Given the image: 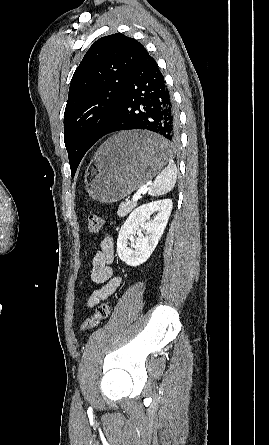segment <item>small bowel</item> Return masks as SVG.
I'll use <instances>...</instances> for the list:
<instances>
[{"mask_svg": "<svg viewBox=\"0 0 269 445\" xmlns=\"http://www.w3.org/2000/svg\"><path fill=\"white\" fill-rule=\"evenodd\" d=\"M113 259V239L110 236H106L100 244V249L96 250L93 255L91 279L99 287L86 300L88 308H93L101 301L110 297L121 285V278L115 274L111 267Z\"/></svg>", "mask_w": 269, "mask_h": 445, "instance_id": "obj_1", "label": "small bowel"}]
</instances>
